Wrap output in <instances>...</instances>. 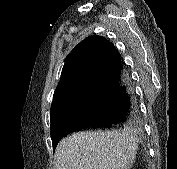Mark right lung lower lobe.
<instances>
[{
    "label": "right lung lower lobe",
    "mask_w": 177,
    "mask_h": 169,
    "mask_svg": "<svg viewBox=\"0 0 177 169\" xmlns=\"http://www.w3.org/2000/svg\"><path fill=\"white\" fill-rule=\"evenodd\" d=\"M89 82L90 99L76 115L64 118L51 136L53 148L67 134L87 128H112L134 121L138 105L127 71L120 55L93 75Z\"/></svg>",
    "instance_id": "98d812e1"
}]
</instances>
